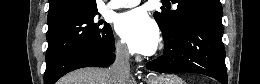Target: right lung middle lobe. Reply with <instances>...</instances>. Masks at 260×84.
Returning a JSON list of instances; mask_svg holds the SVG:
<instances>
[{
  "instance_id": "right-lung-middle-lobe-1",
  "label": "right lung middle lobe",
  "mask_w": 260,
  "mask_h": 84,
  "mask_svg": "<svg viewBox=\"0 0 260 84\" xmlns=\"http://www.w3.org/2000/svg\"><path fill=\"white\" fill-rule=\"evenodd\" d=\"M111 26L98 20L97 11L48 28L46 69H51L65 55L82 48L108 50L113 46Z\"/></svg>"
}]
</instances>
